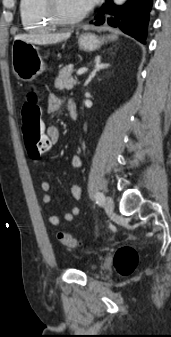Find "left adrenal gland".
I'll use <instances>...</instances> for the list:
<instances>
[{
    "label": "left adrenal gland",
    "mask_w": 171,
    "mask_h": 337,
    "mask_svg": "<svg viewBox=\"0 0 171 337\" xmlns=\"http://www.w3.org/2000/svg\"><path fill=\"white\" fill-rule=\"evenodd\" d=\"M109 66H110L109 64L101 63L100 57H97L96 60H95V69L90 74V76L87 79V81L85 82L84 86H87L90 83V81L95 77V75L98 71H100L101 69L108 68Z\"/></svg>",
    "instance_id": "left-adrenal-gland-1"
}]
</instances>
